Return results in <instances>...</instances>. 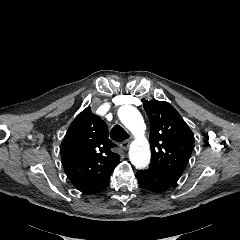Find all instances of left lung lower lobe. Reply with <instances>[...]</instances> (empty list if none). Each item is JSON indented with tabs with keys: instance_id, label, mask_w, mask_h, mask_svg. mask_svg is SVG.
I'll list each match as a JSON object with an SVG mask.
<instances>
[{
	"instance_id": "1",
	"label": "left lung lower lobe",
	"mask_w": 240,
	"mask_h": 240,
	"mask_svg": "<svg viewBox=\"0 0 240 240\" xmlns=\"http://www.w3.org/2000/svg\"><path fill=\"white\" fill-rule=\"evenodd\" d=\"M136 176L140 186L153 193L167 191L177 182L163 171L152 166L146 170H139Z\"/></svg>"
}]
</instances>
